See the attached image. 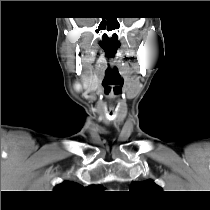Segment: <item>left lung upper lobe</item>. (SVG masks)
<instances>
[{"label":"left lung upper lobe","instance_id":"1","mask_svg":"<svg viewBox=\"0 0 210 210\" xmlns=\"http://www.w3.org/2000/svg\"><path fill=\"white\" fill-rule=\"evenodd\" d=\"M130 190L138 193H151L160 191L161 188L152 180H146L142 182H133L130 186Z\"/></svg>","mask_w":210,"mask_h":210}]
</instances>
